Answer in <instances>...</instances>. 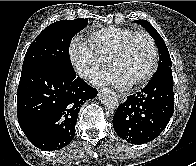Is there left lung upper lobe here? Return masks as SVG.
<instances>
[{"mask_svg": "<svg viewBox=\"0 0 196 166\" xmlns=\"http://www.w3.org/2000/svg\"><path fill=\"white\" fill-rule=\"evenodd\" d=\"M136 23L141 24L148 32L149 34L154 38L159 51V64H158V70L165 68V67H171L172 62L169 55V51L167 49V46L160 36V34L156 31V29L146 20H135Z\"/></svg>", "mask_w": 196, "mask_h": 166, "instance_id": "5c2ea615", "label": "left lung upper lobe"}]
</instances>
